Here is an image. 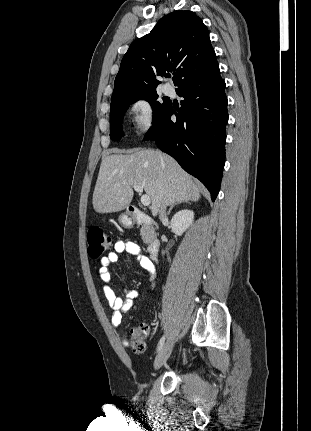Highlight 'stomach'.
Segmentation results:
<instances>
[{"instance_id": "0dacf381", "label": "stomach", "mask_w": 311, "mask_h": 431, "mask_svg": "<svg viewBox=\"0 0 311 431\" xmlns=\"http://www.w3.org/2000/svg\"><path fill=\"white\" fill-rule=\"evenodd\" d=\"M118 221L120 225L126 227V229L134 227V217L128 216V214H120V216H118Z\"/></svg>"}]
</instances>
